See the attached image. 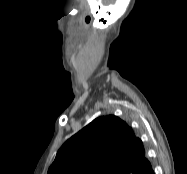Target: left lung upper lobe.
Returning <instances> with one entry per match:
<instances>
[{"mask_svg": "<svg viewBox=\"0 0 187 174\" xmlns=\"http://www.w3.org/2000/svg\"><path fill=\"white\" fill-rule=\"evenodd\" d=\"M142 141L116 116L96 118L57 152L48 174H141L149 167Z\"/></svg>", "mask_w": 187, "mask_h": 174, "instance_id": "1", "label": "left lung upper lobe"}]
</instances>
